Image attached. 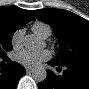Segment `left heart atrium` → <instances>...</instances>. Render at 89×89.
I'll return each instance as SVG.
<instances>
[{
	"instance_id": "1",
	"label": "left heart atrium",
	"mask_w": 89,
	"mask_h": 89,
	"mask_svg": "<svg viewBox=\"0 0 89 89\" xmlns=\"http://www.w3.org/2000/svg\"><path fill=\"white\" fill-rule=\"evenodd\" d=\"M49 58L50 52L47 50L41 52L22 50L16 54V61L30 68L39 66L42 62L46 61Z\"/></svg>"
}]
</instances>
